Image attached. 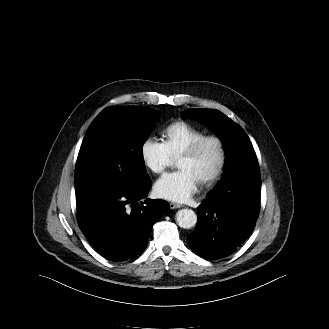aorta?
Segmentation results:
<instances>
[{"mask_svg": "<svg viewBox=\"0 0 329 329\" xmlns=\"http://www.w3.org/2000/svg\"><path fill=\"white\" fill-rule=\"evenodd\" d=\"M176 221L181 228L189 229L196 225L197 215L191 209H181L176 213Z\"/></svg>", "mask_w": 329, "mask_h": 329, "instance_id": "obj_1", "label": "aorta"}]
</instances>
